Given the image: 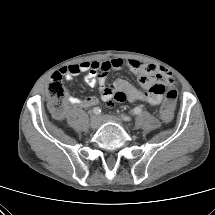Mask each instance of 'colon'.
<instances>
[{
    "label": "colon",
    "instance_id": "obj_1",
    "mask_svg": "<svg viewBox=\"0 0 215 215\" xmlns=\"http://www.w3.org/2000/svg\"><path fill=\"white\" fill-rule=\"evenodd\" d=\"M153 91L164 93L165 88L160 85H155ZM47 93L49 97V107L51 112L55 116H61L65 107V99L67 96V90L63 84L62 76L59 73L52 75L48 82ZM177 99L176 89L170 87L164 97L162 105L160 107V114L158 121L162 125H169L173 121V107Z\"/></svg>",
    "mask_w": 215,
    "mask_h": 215
}]
</instances>
